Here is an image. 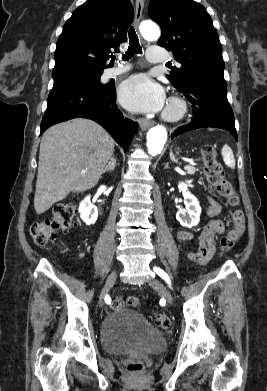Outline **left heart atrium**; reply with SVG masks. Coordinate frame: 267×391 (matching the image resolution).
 <instances>
[{"instance_id":"left-heart-atrium-1","label":"left heart atrium","mask_w":267,"mask_h":391,"mask_svg":"<svg viewBox=\"0 0 267 391\" xmlns=\"http://www.w3.org/2000/svg\"><path fill=\"white\" fill-rule=\"evenodd\" d=\"M119 100L124 107L132 111L157 112L162 109L165 96L158 83L145 74H138L121 84Z\"/></svg>"}]
</instances>
